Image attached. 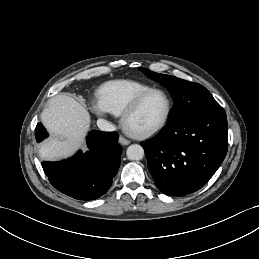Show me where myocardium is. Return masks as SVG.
<instances>
[{
	"instance_id": "f54148a6",
	"label": "myocardium",
	"mask_w": 259,
	"mask_h": 259,
	"mask_svg": "<svg viewBox=\"0 0 259 259\" xmlns=\"http://www.w3.org/2000/svg\"><path fill=\"white\" fill-rule=\"evenodd\" d=\"M153 93H161L165 96L166 101H167V107H166V112L164 114V117L162 118V120L154 127L144 130V131H135L132 130L128 125H127V121L129 119V117L138 109V107L141 105V103L151 94ZM171 111H172V99L170 97V95L168 94L167 91H165L164 89H160V88H151L150 90L140 94L139 96H137L126 108L125 110L122 112L121 114V125L123 127V129L126 131V133H128L130 136L134 137V138H147L150 137L152 135H154L155 133L159 132L161 129H163V127L167 124L169 117L171 115Z\"/></svg>"
}]
</instances>
